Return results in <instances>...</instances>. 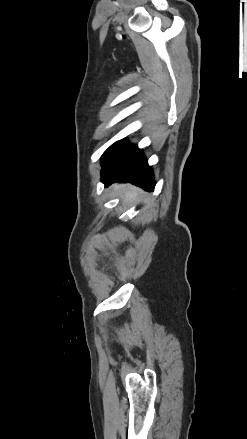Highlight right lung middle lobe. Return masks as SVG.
<instances>
[{
    "mask_svg": "<svg viewBox=\"0 0 247 439\" xmlns=\"http://www.w3.org/2000/svg\"><path fill=\"white\" fill-rule=\"evenodd\" d=\"M127 144L126 139H122L120 141H117L116 143H114L113 145H111L106 151L105 153L102 155L101 157V161L102 163L104 161H106L114 152H116L117 150L121 149L122 147H124Z\"/></svg>",
    "mask_w": 247,
    "mask_h": 439,
    "instance_id": "right-lung-middle-lobe-1",
    "label": "right lung middle lobe"
}]
</instances>
